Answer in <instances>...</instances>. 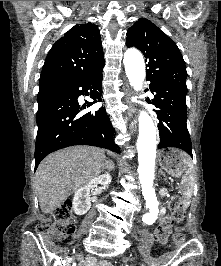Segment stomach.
<instances>
[{"mask_svg":"<svg viewBox=\"0 0 221 266\" xmlns=\"http://www.w3.org/2000/svg\"><path fill=\"white\" fill-rule=\"evenodd\" d=\"M175 149L161 150L158 153V161L162 169L174 177H181L187 172V166L181 155Z\"/></svg>","mask_w":221,"mask_h":266,"instance_id":"0dacf381","label":"stomach"}]
</instances>
